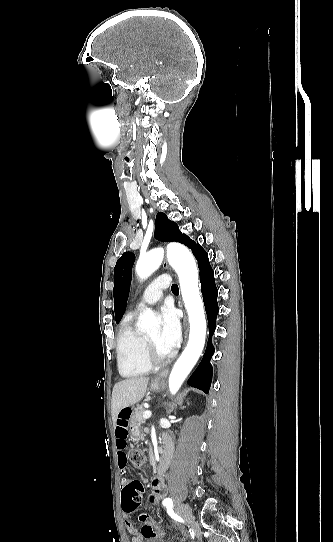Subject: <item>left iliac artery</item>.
Here are the masks:
<instances>
[{"label":"left iliac artery","mask_w":333,"mask_h":542,"mask_svg":"<svg viewBox=\"0 0 333 542\" xmlns=\"http://www.w3.org/2000/svg\"><path fill=\"white\" fill-rule=\"evenodd\" d=\"M162 503H163V505H169V504H172L173 502H172V500L170 498H166V499L163 500Z\"/></svg>","instance_id":"left-iliac-artery-1"}]
</instances>
